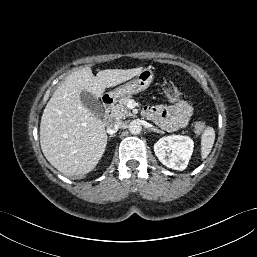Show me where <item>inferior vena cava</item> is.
<instances>
[{"label":"inferior vena cava","instance_id":"602c4592","mask_svg":"<svg viewBox=\"0 0 257 257\" xmlns=\"http://www.w3.org/2000/svg\"><path fill=\"white\" fill-rule=\"evenodd\" d=\"M123 125L122 121H114L108 125L107 132L108 134L116 133Z\"/></svg>","mask_w":257,"mask_h":257}]
</instances>
